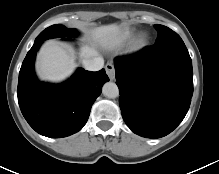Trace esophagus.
<instances>
[{
  "label": "esophagus",
  "mask_w": 219,
  "mask_h": 174,
  "mask_svg": "<svg viewBox=\"0 0 219 174\" xmlns=\"http://www.w3.org/2000/svg\"><path fill=\"white\" fill-rule=\"evenodd\" d=\"M106 73L111 81L115 79V68L111 63H107L105 66Z\"/></svg>",
  "instance_id": "obj_1"
}]
</instances>
